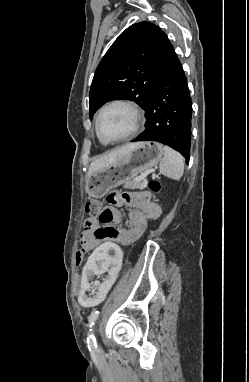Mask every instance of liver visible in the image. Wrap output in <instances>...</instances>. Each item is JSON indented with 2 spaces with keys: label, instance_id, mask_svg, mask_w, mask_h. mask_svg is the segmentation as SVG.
Here are the masks:
<instances>
[{
  "label": "liver",
  "instance_id": "obj_1",
  "mask_svg": "<svg viewBox=\"0 0 249 382\" xmlns=\"http://www.w3.org/2000/svg\"><path fill=\"white\" fill-rule=\"evenodd\" d=\"M136 144L137 143L125 144L94 160L89 166L87 177L89 178L94 172L115 164L118 160L129 153L136 146Z\"/></svg>",
  "mask_w": 249,
  "mask_h": 382
}]
</instances>
